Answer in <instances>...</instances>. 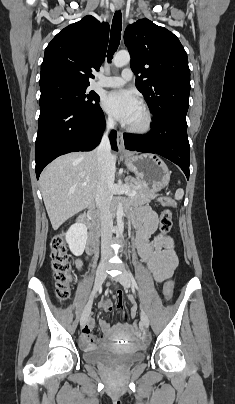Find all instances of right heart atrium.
Instances as JSON below:
<instances>
[{
  "mask_svg": "<svg viewBox=\"0 0 235 404\" xmlns=\"http://www.w3.org/2000/svg\"><path fill=\"white\" fill-rule=\"evenodd\" d=\"M105 123H106L107 126H112L114 124V121H113L112 117L106 116L105 117Z\"/></svg>",
  "mask_w": 235,
  "mask_h": 404,
  "instance_id": "obj_1",
  "label": "right heart atrium"
}]
</instances>
